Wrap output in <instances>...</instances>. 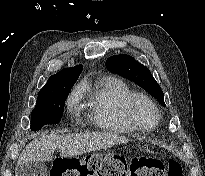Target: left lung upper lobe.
<instances>
[{
    "instance_id": "1",
    "label": "left lung upper lobe",
    "mask_w": 205,
    "mask_h": 176,
    "mask_svg": "<svg viewBox=\"0 0 205 176\" xmlns=\"http://www.w3.org/2000/svg\"><path fill=\"white\" fill-rule=\"evenodd\" d=\"M106 66L111 72L134 81L153 95L161 105L166 106L164 94L149 69L133 57L127 54L115 55L107 59Z\"/></svg>"
}]
</instances>
